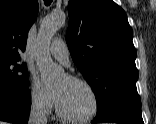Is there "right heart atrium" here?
Listing matches in <instances>:
<instances>
[{"label": "right heart atrium", "instance_id": "right-heart-atrium-1", "mask_svg": "<svg viewBox=\"0 0 156 124\" xmlns=\"http://www.w3.org/2000/svg\"><path fill=\"white\" fill-rule=\"evenodd\" d=\"M29 97L34 109L44 114L51 113L54 106V95L35 74H32L29 79Z\"/></svg>", "mask_w": 156, "mask_h": 124}]
</instances>
